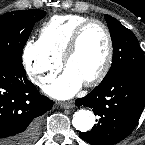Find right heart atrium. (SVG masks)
Instances as JSON below:
<instances>
[{
  "label": "right heart atrium",
  "mask_w": 145,
  "mask_h": 145,
  "mask_svg": "<svg viewBox=\"0 0 145 145\" xmlns=\"http://www.w3.org/2000/svg\"><path fill=\"white\" fill-rule=\"evenodd\" d=\"M23 62L28 76L38 85L51 82L61 67V60L45 51L39 41L25 44Z\"/></svg>",
  "instance_id": "d8ad5b80"
}]
</instances>
